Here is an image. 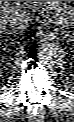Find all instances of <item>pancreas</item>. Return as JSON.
I'll list each match as a JSON object with an SVG mask.
<instances>
[{
    "instance_id": "1",
    "label": "pancreas",
    "mask_w": 74,
    "mask_h": 122,
    "mask_svg": "<svg viewBox=\"0 0 74 122\" xmlns=\"http://www.w3.org/2000/svg\"><path fill=\"white\" fill-rule=\"evenodd\" d=\"M32 6L44 8L55 11V20L62 25H70L73 20V9L71 6L62 1H32Z\"/></svg>"
}]
</instances>
